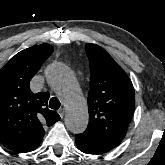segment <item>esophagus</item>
Returning <instances> with one entry per match:
<instances>
[{
  "instance_id": "esophagus-1",
  "label": "esophagus",
  "mask_w": 165,
  "mask_h": 165,
  "mask_svg": "<svg viewBox=\"0 0 165 165\" xmlns=\"http://www.w3.org/2000/svg\"><path fill=\"white\" fill-rule=\"evenodd\" d=\"M58 114L60 115L61 118H63V116L65 114V110L64 109H59Z\"/></svg>"
}]
</instances>
